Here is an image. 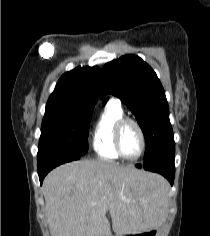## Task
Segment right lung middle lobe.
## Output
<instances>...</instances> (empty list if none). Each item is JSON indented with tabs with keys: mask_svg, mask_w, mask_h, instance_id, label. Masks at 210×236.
Returning <instances> with one entry per match:
<instances>
[{
	"mask_svg": "<svg viewBox=\"0 0 210 236\" xmlns=\"http://www.w3.org/2000/svg\"><path fill=\"white\" fill-rule=\"evenodd\" d=\"M92 109L66 105L46 106L38 155L50 152L83 156L88 151V131Z\"/></svg>",
	"mask_w": 210,
	"mask_h": 236,
	"instance_id": "1",
	"label": "right lung middle lobe"
}]
</instances>
